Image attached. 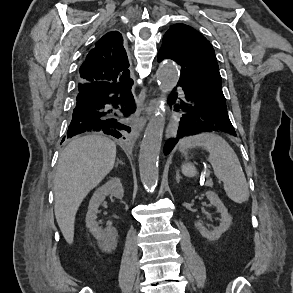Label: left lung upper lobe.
Listing matches in <instances>:
<instances>
[{
	"label": "left lung upper lobe",
	"mask_w": 293,
	"mask_h": 293,
	"mask_svg": "<svg viewBox=\"0 0 293 293\" xmlns=\"http://www.w3.org/2000/svg\"><path fill=\"white\" fill-rule=\"evenodd\" d=\"M170 58L181 66L178 85L207 101L225 103L221 76L210 42L194 28L174 24L163 37L158 60Z\"/></svg>",
	"instance_id": "left-lung-upper-lobe-1"
}]
</instances>
